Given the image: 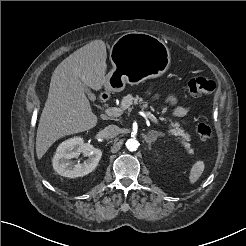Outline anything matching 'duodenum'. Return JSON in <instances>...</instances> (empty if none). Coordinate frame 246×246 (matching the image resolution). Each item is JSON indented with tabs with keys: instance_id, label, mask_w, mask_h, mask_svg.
<instances>
[{
	"instance_id": "410a0bca",
	"label": "duodenum",
	"mask_w": 246,
	"mask_h": 246,
	"mask_svg": "<svg viewBox=\"0 0 246 246\" xmlns=\"http://www.w3.org/2000/svg\"><path fill=\"white\" fill-rule=\"evenodd\" d=\"M109 99V94L104 92L101 94V101L106 102Z\"/></svg>"
}]
</instances>
